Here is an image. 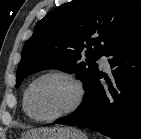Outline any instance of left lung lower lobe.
Returning <instances> with one entry per match:
<instances>
[{"label":"left lung lower lobe","instance_id":"left-lung-lower-lobe-1","mask_svg":"<svg viewBox=\"0 0 141 139\" xmlns=\"http://www.w3.org/2000/svg\"><path fill=\"white\" fill-rule=\"evenodd\" d=\"M113 77L100 83L99 71L85 89L82 104L75 112L55 121L100 132L113 139H141V25L112 44Z\"/></svg>","mask_w":141,"mask_h":139}]
</instances>
